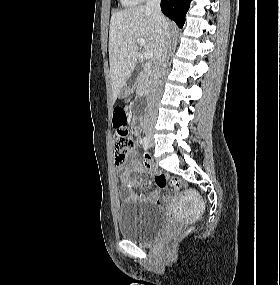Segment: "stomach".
I'll return each mask as SVG.
<instances>
[{"label":"stomach","mask_w":280,"mask_h":285,"mask_svg":"<svg viewBox=\"0 0 280 285\" xmlns=\"http://www.w3.org/2000/svg\"><path fill=\"white\" fill-rule=\"evenodd\" d=\"M130 90H131V87L129 86H125L123 89L124 93H128Z\"/></svg>","instance_id":"1"}]
</instances>
